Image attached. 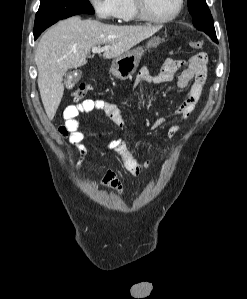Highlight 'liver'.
Instances as JSON below:
<instances>
[{"mask_svg": "<svg viewBox=\"0 0 247 299\" xmlns=\"http://www.w3.org/2000/svg\"><path fill=\"white\" fill-rule=\"evenodd\" d=\"M161 28L109 25L74 16L48 29L37 45L35 62L40 96L49 120L54 118L63 97V76L68 69L85 65L91 48L104 44L103 57L117 58Z\"/></svg>", "mask_w": 247, "mask_h": 299, "instance_id": "liver-1", "label": "liver"}]
</instances>
